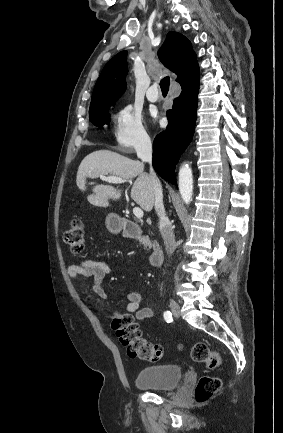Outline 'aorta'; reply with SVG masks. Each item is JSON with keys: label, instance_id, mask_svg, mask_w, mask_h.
<instances>
[{"label": "aorta", "instance_id": "obj_1", "mask_svg": "<svg viewBox=\"0 0 283 433\" xmlns=\"http://www.w3.org/2000/svg\"><path fill=\"white\" fill-rule=\"evenodd\" d=\"M178 186L182 200L189 204L193 195V175L188 164H183L179 170Z\"/></svg>", "mask_w": 283, "mask_h": 433}]
</instances>
